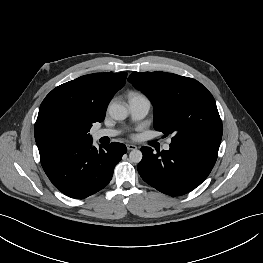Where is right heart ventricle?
Segmentation results:
<instances>
[{
    "mask_svg": "<svg viewBox=\"0 0 263 263\" xmlns=\"http://www.w3.org/2000/svg\"><path fill=\"white\" fill-rule=\"evenodd\" d=\"M137 96H143V95H141V94H139V93H131V94H130V98H131V97H137Z\"/></svg>",
    "mask_w": 263,
    "mask_h": 263,
    "instance_id": "obj_1",
    "label": "right heart ventricle"
}]
</instances>
